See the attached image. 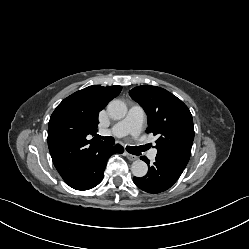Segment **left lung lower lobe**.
Returning <instances> with one entry per match:
<instances>
[{"label": "left lung lower lobe", "mask_w": 249, "mask_h": 249, "mask_svg": "<svg viewBox=\"0 0 249 249\" xmlns=\"http://www.w3.org/2000/svg\"><path fill=\"white\" fill-rule=\"evenodd\" d=\"M148 166L149 160L141 157ZM184 168L169 164L157 159L152 166H149L148 173L141 178L134 177L133 181L137 187L148 193H160L169 189L180 177Z\"/></svg>", "instance_id": "1"}]
</instances>
